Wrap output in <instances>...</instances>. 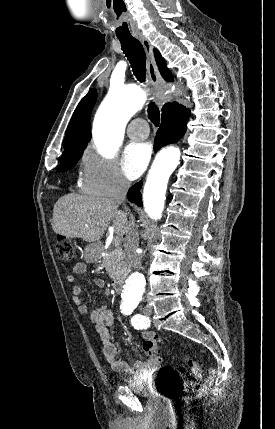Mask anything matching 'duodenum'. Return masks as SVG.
<instances>
[{"mask_svg": "<svg viewBox=\"0 0 275 429\" xmlns=\"http://www.w3.org/2000/svg\"><path fill=\"white\" fill-rule=\"evenodd\" d=\"M122 286H123V278L122 277H117L113 280L112 287L116 293L121 292Z\"/></svg>", "mask_w": 275, "mask_h": 429, "instance_id": "1", "label": "duodenum"}]
</instances>
